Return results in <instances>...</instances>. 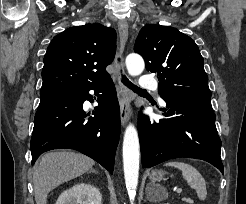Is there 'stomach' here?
<instances>
[{
	"mask_svg": "<svg viewBox=\"0 0 246 204\" xmlns=\"http://www.w3.org/2000/svg\"><path fill=\"white\" fill-rule=\"evenodd\" d=\"M165 172L162 170H155L151 172L150 178L152 181H161L164 179Z\"/></svg>",
	"mask_w": 246,
	"mask_h": 204,
	"instance_id": "obj_1",
	"label": "stomach"
}]
</instances>
